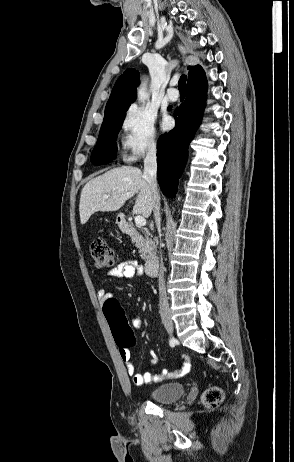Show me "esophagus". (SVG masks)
<instances>
[{
  "label": "esophagus",
  "mask_w": 294,
  "mask_h": 462,
  "mask_svg": "<svg viewBox=\"0 0 294 462\" xmlns=\"http://www.w3.org/2000/svg\"><path fill=\"white\" fill-rule=\"evenodd\" d=\"M178 47H179V51H180V53L182 55H185L187 53V50L183 45L180 44Z\"/></svg>",
  "instance_id": "obj_1"
}]
</instances>
